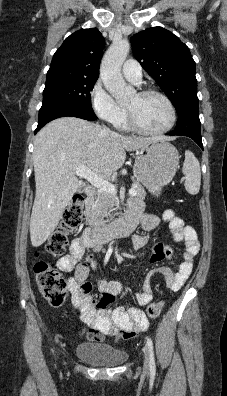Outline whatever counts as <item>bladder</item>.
Returning a JSON list of instances; mask_svg holds the SVG:
<instances>
[{
  "label": "bladder",
  "mask_w": 227,
  "mask_h": 396,
  "mask_svg": "<svg viewBox=\"0 0 227 396\" xmlns=\"http://www.w3.org/2000/svg\"><path fill=\"white\" fill-rule=\"evenodd\" d=\"M75 354L84 362L99 367H115L128 358L125 351L96 342L79 343L75 348Z\"/></svg>",
  "instance_id": "31cf9c89"
}]
</instances>
